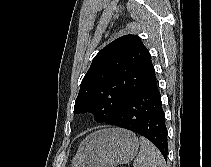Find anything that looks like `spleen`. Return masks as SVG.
Masks as SVG:
<instances>
[{
  "label": "spleen",
  "mask_w": 211,
  "mask_h": 167,
  "mask_svg": "<svg viewBox=\"0 0 211 167\" xmlns=\"http://www.w3.org/2000/svg\"><path fill=\"white\" fill-rule=\"evenodd\" d=\"M140 145L133 167H166L162 154L149 140L140 137Z\"/></svg>",
  "instance_id": "spleen-1"
}]
</instances>
